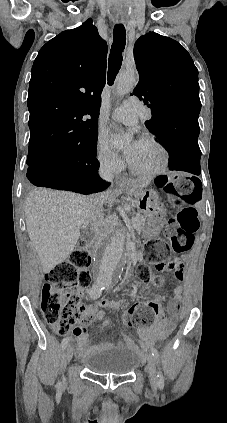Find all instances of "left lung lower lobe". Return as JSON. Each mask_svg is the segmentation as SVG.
I'll use <instances>...</instances> for the list:
<instances>
[{
	"instance_id": "left-lung-lower-lobe-1",
	"label": "left lung lower lobe",
	"mask_w": 227,
	"mask_h": 423,
	"mask_svg": "<svg viewBox=\"0 0 227 423\" xmlns=\"http://www.w3.org/2000/svg\"><path fill=\"white\" fill-rule=\"evenodd\" d=\"M199 131V127H191L172 137L158 139L169 153L171 170L186 171L195 175L201 173Z\"/></svg>"
}]
</instances>
